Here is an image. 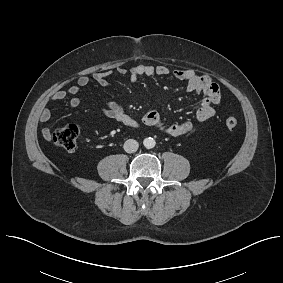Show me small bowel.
<instances>
[{
  "label": "small bowel",
  "instance_id": "1",
  "mask_svg": "<svg viewBox=\"0 0 283 283\" xmlns=\"http://www.w3.org/2000/svg\"><path fill=\"white\" fill-rule=\"evenodd\" d=\"M113 74L125 75L128 74L132 82H136L141 77H164L171 75L175 81L183 82L188 91L202 93L204 95L203 101L196 110L195 120L198 123L205 122L215 115V106L220 104L222 96L220 88L212 78L208 75H201L192 69H176L171 71L164 65H136L130 69L118 68L115 71H102L93 74L92 78L88 76H81L77 80V85L69 87L67 90H58L52 95V100L62 101L68 95L72 96L69 101L71 107H77L81 104V99L78 97L80 88L90 84L91 80L97 84L106 87L108 85V78ZM105 115L122 123L123 125L138 129L141 124L154 127L164 132L165 134L178 137L191 132L194 128L192 121H184L179 123H165L158 111H148L141 121L136 120L127 114L118 102H109L106 104ZM52 112L48 107L43 108L40 114L42 122H48L51 119ZM43 134L48 135L49 130L43 129Z\"/></svg>",
  "mask_w": 283,
  "mask_h": 283
}]
</instances>
